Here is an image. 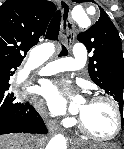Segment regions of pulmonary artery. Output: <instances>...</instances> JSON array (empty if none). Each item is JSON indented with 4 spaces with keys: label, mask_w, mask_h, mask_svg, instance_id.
<instances>
[{
    "label": "pulmonary artery",
    "mask_w": 124,
    "mask_h": 149,
    "mask_svg": "<svg viewBox=\"0 0 124 149\" xmlns=\"http://www.w3.org/2000/svg\"><path fill=\"white\" fill-rule=\"evenodd\" d=\"M86 63V48L83 44H75L72 49V55L62 58L42 66L39 73L50 75L66 70H81Z\"/></svg>",
    "instance_id": "e3ab8cb5"
}]
</instances>
